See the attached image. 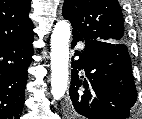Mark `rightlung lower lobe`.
<instances>
[{"mask_svg":"<svg viewBox=\"0 0 142 119\" xmlns=\"http://www.w3.org/2000/svg\"><path fill=\"white\" fill-rule=\"evenodd\" d=\"M33 34L0 46V119H20L25 99L27 69L33 55Z\"/></svg>","mask_w":142,"mask_h":119,"instance_id":"1","label":"right lung lower lobe"}]
</instances>
